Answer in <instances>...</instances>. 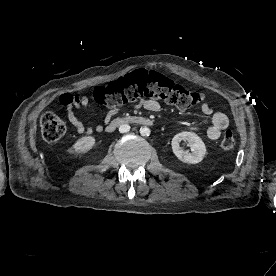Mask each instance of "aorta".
Segmentation results:
<instances>
[{
    "instance_id": "obj_1",
    "label": "aorta",
    "mask_w": 276,
    "mask_h": 276,
    "mask_svg": "<svg viewBox=\"0 0 276 276\" xmlns=\"http://www.w3.org/2000/svg\"><path fill=\"white\" fill-rule=\"evenodd\" d=\"M140 134L143 137L149 136L150 135V129L148 127H141L140 128Z\"/></svg>"
}]
</instances>
